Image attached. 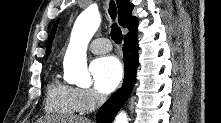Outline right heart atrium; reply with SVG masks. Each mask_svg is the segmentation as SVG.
I'll return each mask as SVG.
<instances>
[{"instance_id": "right-heart-atrium-1", "label": "right heart atrium", "mask_w": 221, "mask_h": 123, "mask_svg": "<svg viewBox=\"0 0 221 123\" xmlns=\"http://www.w3.org/2000/svg\"><path fill=\"white\" fill-rule=\"evenodd\" d=\"M75 99L79 112L87 113L100 105L104 97L92 88H75Z\"/></svg>"}]
</instances>
